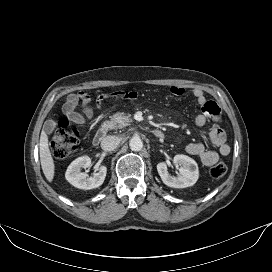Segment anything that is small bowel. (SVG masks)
<instances>
[{
    "label": "small bowel",
    "instance_id": "1",
    "mask_svg": "<svg viewBox=\"0 0 272 272\" xmlns=\"http://www.w3.org/2000/svg\"><path fill=\"white\" fill-rule=\"evenodd\" d=\"M171 93L176 97H182L185 94V89L181 86L171 87ZM192 96L196 99L197 103L201 106L200 113L195 118V124L199 127L204 126L208 121H216L220 117V107L214 101L207 100L203 91L199 88H192L190 90ZM138 94L135 91L120 90L111 93H101L96 99L97 108H100L102 103L106 100L112 99H137ZM81 101L83 105L84 116L77 113L75 108L78 102ZM91 97L85 91H80L67 96L62 111L64 115L80 126L86 122V118L93 117V109L90 106ZM210 143L217 148V151L208 149L203 143L193 142L186 146V152L190 155L196 156L206 166L215 164L219 156H226L230 153V147L226 141V132L218 124H213L209 133Z\"/></svg>",
    "mask_w": 272,
    "mask_h": 272
}]
</instances>
